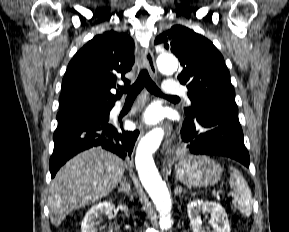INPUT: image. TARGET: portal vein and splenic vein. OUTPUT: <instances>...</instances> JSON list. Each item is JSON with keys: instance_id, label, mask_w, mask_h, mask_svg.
<instances>
[{"instance_id": "1", "label": "portal vein and splenic vein", "mask_w": 289, "mask_h": 232, "mask_svg": "<svg viewBox=\"0 0 289 232\" xmlns=\"http://www.w3.org/2000/svg\"><path fill=\"white\" fill-rule=\"evenodd\" d=\"M227 196H228V197H235V193L229 192V193L227 194Z\"/></svg>"}]
</instances>
